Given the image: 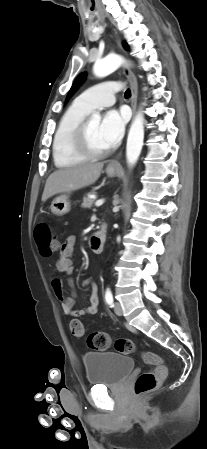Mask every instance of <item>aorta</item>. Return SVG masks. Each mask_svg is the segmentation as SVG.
Segmentation results:
<instances>
[{"label": "aorta", "mask_w": 207, "mask_h": 449, "mask_svg": "<svg viewBox=\"0 0 207 449\" xmlns=\"http://www.w3.org/2000/svg\"><path fill=\"white\" fill-rule=\"evenodd\" d=\"M122 63L123 59L121 56L111 54L101 60H97L93 66V72L97 77H105L116 71ZM100 121L101 116L98 113L92 115V124H99ZM143 140L144 118L143 113L139 111L131 124L126 145V158L130 166L136 164L143 147Z\"/></svg>", "instance_id": "762f6f07"}]
</instances>
